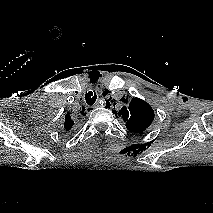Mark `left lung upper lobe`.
Listing matches in <instances>:
<instances>
[{
  "label": "left lung upper lobe",
  "instance_id": "obj_1",
  "mask_svg": "<svg viewBox=\"0 0 213 213\" xmlns=\"http://www.w3.org/2000/svg\"><path fill=\"white\" fill-rule=\"evenodd\" d=\"M122 102L128 101L122 97ZM114 113L116 117H121L126 123V128L134 133L145 131L155 116L151 106L139 98L132 99L128 108L124 106L119 112L114 110Z\"/></svg>",
  "mask_w": 213,
  "mask_h": 213
}]
</instances>
